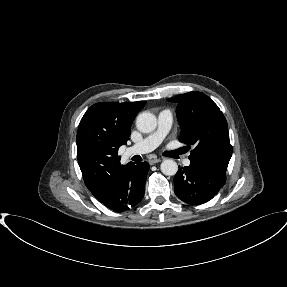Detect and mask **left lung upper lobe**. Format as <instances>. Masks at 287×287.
<instances>
[{"label":"left lung upper lobe","instance_id":"left-lung-upper-lobe-1","mask_svg":"<svg viewBox=\"0 0 287 287\" xmlns=\"http://www.w3.org/2000/svg\"><path fill=\"white\" fill-rule=\"evenodd\" d=\"M177 103L181 127L179 141L193 149L191 161H208L227 168L232 155L227 121L218 106L204 93L191 91L168 98Z\"/></svg>","mask_w":287,"mask_h":287}]
</instances>
